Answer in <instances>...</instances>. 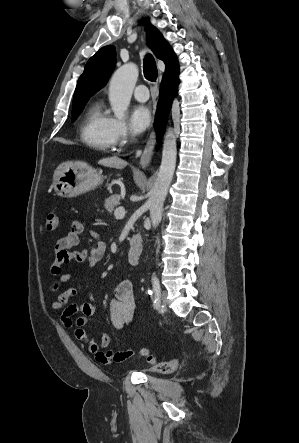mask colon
Instances as JSON below:
<instances>
[{
	"instance_id": "1",
	"label": "colon",
	"mask_w": 299,
	"mask_h": 443,
	"mask_svg": "<svg viewBox=\"0 0 299 443\" xmlns=\"http://www.w3.org/2000/svg\"><path fill=\"white\" fill-rule=\"evenodd\" d=\"M59 225L58 215L54 211H48L45 215L44 229L46 231H53ZM142 355L145 356L153 368L161 373H172L178 366L176 359L158 360L148 349L142 350Z\"/></svg>"
}]
</instances>
